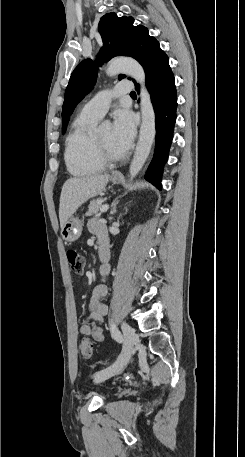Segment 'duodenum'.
<instances>
[{
	"label": "duodenum",
	"instance_id": "1",
	"mask_svg": "<svg viewBox=\"0 0 245 457\" xmlns=\"http://www.w3.org/2000/svg\"><path fill=\"white\" fill-rule=\"evenodd\" d=\"M99 259L102 263L106 264L109 261L110 253L107 248L101 247L99 248Z\"/></svg>",
	"mask_w": 245,
	"mask_h": 457
}]
</instances>
